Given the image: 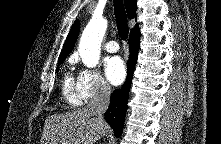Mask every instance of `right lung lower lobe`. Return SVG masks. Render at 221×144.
Returning <instances> with one entry per match:
<instances>
[{
    "instance_id": "obj_1",
    "label": "right lung lower lobe",
    "mask_w": 221,
    "mask_h": 144,
    "mask_svg": "<svg viewBox=\"0 0 221 144\" xmlns=\"http://www.w3.org/2000/svg\"><path fill=\"white\" fill-rule=\"evenodd\" d=\"M140 30L130 33L129 50L130 56L127 63V80L122 88L113 91L110 106L105 112V120L111 125L114 134L119 137L123 130L124 118L126 113V104L129 95V89L132 81L135 64L137 61V54L140 44Z\"/></svg>"
}]
</instances>
